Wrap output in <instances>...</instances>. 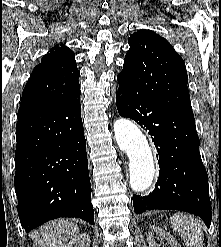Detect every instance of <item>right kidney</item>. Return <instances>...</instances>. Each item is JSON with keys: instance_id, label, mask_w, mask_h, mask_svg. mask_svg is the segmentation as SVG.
Wrapping results in <instances>:
<instances>
[{"instance_id": "1", "label": "right kidney", "mask_w": 221, "mask_h": 247, "mask_svg": "<svg viewBox=\"0 0 221 247\" xmlns=\"http://www.w3.org/2000/svg\"><path fill=\"white\" fill-rule=\"evenodd\" d=\"M90 246V237L88 234H78L73 237L68 244L63 247H89Z\"/></svg>"}]
</instances>
